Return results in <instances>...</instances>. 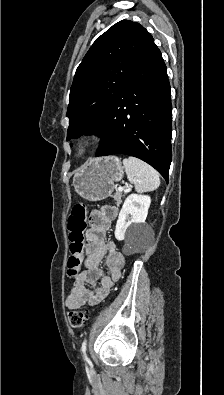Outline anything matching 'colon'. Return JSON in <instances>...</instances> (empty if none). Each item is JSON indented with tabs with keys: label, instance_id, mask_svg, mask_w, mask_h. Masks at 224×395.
Listing matches in <instances>:
<instances>
[{
	"label": "colon",
	"instance_id": "5ec220e1",
	"mask_svg": "<svg viewBox=\"0 0 224 395\" xmlns=\"http://www.w3.org/2000/svg\"><path fill=\"white\" fill-rule=\"evenodd\" d=\"M87 207L84 204H77L73 207L68 218L67 228L69 232L71 256L67 262V275L75 277L81 267V257L84 251V231L86 229ZM69 324L73 328L83 327L88 315L84 310H72L68 315Z\"/></svg>",
	"mask_w": 224,
	"mask_h": 395
}]
</instances>
